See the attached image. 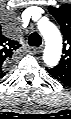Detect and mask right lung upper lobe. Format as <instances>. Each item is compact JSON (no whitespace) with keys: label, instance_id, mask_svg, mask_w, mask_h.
Listing matches in <instances>:
<instances>
[{"label":"right lung upper lobe","instance_id":"obj_1","mask_svg":"<svg viewBox=\"0 0 71 119\" xmlns=\"http://www.w3.org/2000/svg\"><path fill=\"white\" fill-rule=\"evenodd\" d=\"M0 48H1V59L3 65H10L12 60L13 53L20 47V44L17 41L6 38L5 36H0Z\"/></svg>","mask_w":71,"mask_h":119}]
</instances>
